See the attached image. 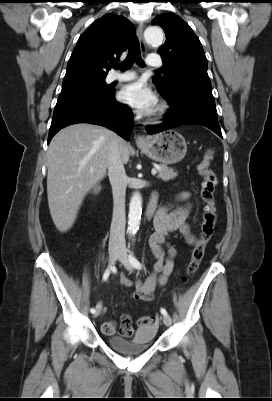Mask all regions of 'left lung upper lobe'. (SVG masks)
I'll return each instance as SVG.
<instances>
[{
  "label": "left lung upper lobe",
  "mask_w": 272,
  "mask_h": 401,
  "mask_svg": "<svg viewBox=\"0 0 272 401\" xmlns=\"http://www.w3.org/2000/svg\"><path fill=\"white\" fill-rule=\"evenodd\" d=\"M152 25L161 26L166 34L165 45L158 49L163 60L164 76L153 77L159 92L164 97L179 90L212 93L207 59L191 27L173 13L156 16Z\"/></svg>",
  "instance_id": "obj_1"
}]
</instances>
